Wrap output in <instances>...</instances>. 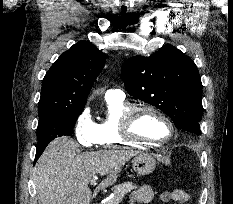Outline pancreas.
<instances>
[{"label":"pancreas","mask_w":233,"mask_h":204,"mask_svg":"<svg viewBox=\"0 0 233 204\" xmlns=\"http://www.w3.org/2000/svg\"><path fill=\"white\" fill-rule=\"evenodd\" d=\"M137 186L132 182H124L113 187V197L108 199L105 204H119L124 195L132 190H135Z\"/></svg>","instance_id":"1"}]
</instances>
